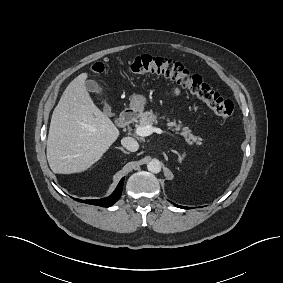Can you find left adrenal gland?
<instances>
[{
  "instance_id": "left-adrenal-gland-1",
  "label": "left adrenal gland",
  "mask_w": 283,
  "mask_h": 283,
  "mask_svg": "<svg viewBox=\"0 0 283 283\" xmlns=\"http://www.w3.org/2000/svg\"><path fill=\"white\" fill-rule=\"evenodd\" d=\"M171 152L175 153L178 156V161L181 164L183 159H184V155H181L179 152H177L176 150L171 149Z\"/></svg>"
}]
</instances>
